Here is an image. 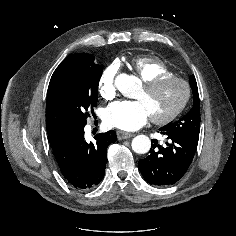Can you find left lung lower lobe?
Here are the masks:
<instances>
[{"instance_id":"obj_1","label":"left lung lower lobe","mask_w":236,"mask_h":236,"mask_svg":"<svg viewBox=\"0 0 236 236\" xmlns=\"http://www.w3.org/2000/svg\"><path fill=\"white\" fill-rule=\"evenodd\" d=\"M159 130L167 136L169 143L162 147L157 140H152L150 155L139 160L138 165L149 184L167 186L175 184L188 170L197 149L198 138L168 131L163 127Z\"/></svg>"}]
</instances>
